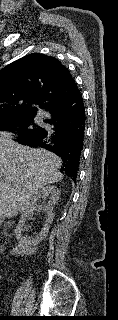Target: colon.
Masks as SVG:
<instances>
[{
  "mask_svg": "<svg viewBox=\"0 0 118 320\" xmlns=\"http://www.w3.org/2000/svg\"><path fill=\"white\" fill-rule=\"evenodd\" d=\"M3 244H4V241H3V240H0V251L2 250Z\"/></svg>",
  "mask_w": 118,
  "mask_h": 320,
  "instance_id": "1",
  "label": "colon"
}]
</instances>
